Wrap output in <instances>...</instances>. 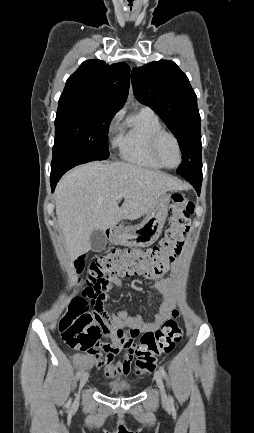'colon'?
<instances>
[{"mask_svg": "<svg viewBox=\"0 0 254 433\" xmlns=\"http://www.w3.org/2000/svg\"><path fill=\"white\" fill-rule=\"evenodd\" d=\"M172 212L169 226L159 245L146 250H113L98 256L90 263L86 278L90 302L76 298L58 325L61 338L69 348L89 355L96 352L98 308L101 305L99 293L112 279L160 273L180 254L189 230L194 204L183 194L174 193ZM76 267L82 270V261H79ZM181 337L182 329L176 318H169L158 329L144 333L133 350L137 357L136 374L141 376L154 372L158 358L171 353Z\"/></svg>", "mask_w": 254, "mask_h": 433, "instance_id": "colon-1", "label": "colon"}]
</instances>
